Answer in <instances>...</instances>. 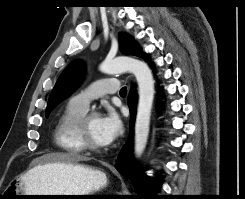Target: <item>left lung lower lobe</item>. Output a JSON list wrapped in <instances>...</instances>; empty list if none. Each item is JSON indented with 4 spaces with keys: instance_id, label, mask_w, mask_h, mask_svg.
<instances>
[{
    "instance_id": "obj_1",
    "label": "left lung lower lobe",
    "mask_w": 245,
    "mask_h": 199,
    "mask_svg": "<svg viewBox=\"0 0 245 199\" xmlns=\"http://www.w3.org/2000/svg\"><path fill=\"white\" fill-rule=\"evenodd\" d=\"M145 59L148 60L147 57H145ZM135 99V92L134 90H132L130 93V98L128 100L131 115V127L133 126L136 115ZM115 167L123 176H126L132 180V183L135 186L138 194L145 195L146 192L151 193L157 191L156 188H153L149 191V189L147 188V178L145 176L137 175L135 164L131 158V140L128 141V143L119 154L118 161Z\"/></svg>"
}]
</instances>
